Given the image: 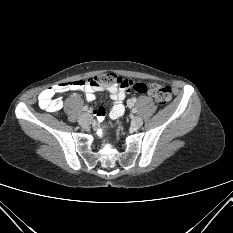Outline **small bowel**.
I'll return each mask as SVG.
<instances>
[{"mask_svg":"<svg viewBox=\"0 0 233 233\" xmlns=\"http://www.w3.org/2000/svg\"><path fill=\"white\" fill-rule=\"evenodd\" d=\"M104 89L103 83H95L92 79L77 80L71 82L60 83L49 87L43 90L38 96V104L39 107L49 111L55 112L58 111L62 107V99L60 97H55L57 94L64 93L69 90H77L82 91L85 94V98L88 102H92L95 99V93ZM106 91L109 93L111 100L113 101V105L110 108L109 115L112 119L120 118L125 111L124 100L126 97V91L118 88V87H108ZM135 98H129L127 101L128 106L134 105ZM132 110L131 108L129 109ZM92 117L97 118L98 121L102 122L106 116V110L103 107L98 108L97 110L92 112ZM93 121L92 127L95 128V133L98 137H103L108 128L104 127L103 129L99 127V122Z\"/></svg>","mask_w":233,"mask_h":233,"instance_id":"c3829d8e","label":"small bowel"}]
</instances>
